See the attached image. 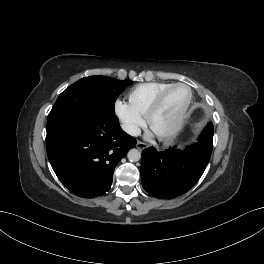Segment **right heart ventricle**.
I'll return each mask as SVG.
<instances>
[{
	"instance_id": "obj_1",
	"label": "right heart ventricle",
	"mask_w": 264,
	"mask_h": 264,
	"mask_svg": "<svg viewBox=\"0 0 264 264\" xmlns=\"http://www.w3.org/2000/svg\"><path fill=\"white\" fill-rule=\"evenodd\" d=\"M166 82L142 83L133 87L128 93V104L139 115L144 116L157 94L169 86Z\"/></svg>"
}]
</instances>
